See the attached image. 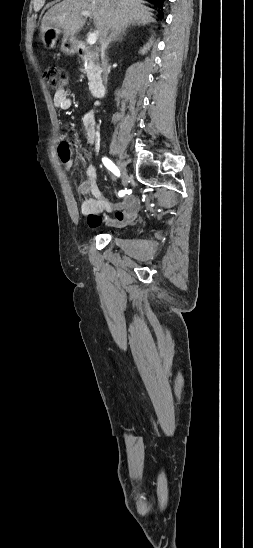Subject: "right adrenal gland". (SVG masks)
I'll return each instance as SVG.
<instances>
[{"mask_svg": "<svg viewBox=\"0 0 253 548\" xmlns=\"http://www.w3.org/2000/svg\"><path fill=\"white\" fill-rule=\"evenodd\" d=\"M125 35H126V29L112 32L110 34L108 40H107L106 49L109 48L111 43L116 42V41H122L123 36H125Z\"/></svg>", "mask_w": 253, "mask_h": 548, "instance_id": "2a0ac1e0", "label": "right adrenal gland"}]
</instances>
